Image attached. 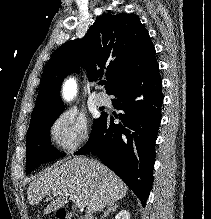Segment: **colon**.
<instances>
[{
    "mask_svg": "<svg viewBox=\"0 0 211 219\" xmlns=\"http://www.w3.org/2000/svg\"><path fill=\"white\" fill-rule=\"evenodd\" d=\"M56 217L57 219H76V217L65 210H59Z\"/></svg>",
    "mask_w": 211,
    "mask_h": 219,
    "instance_id": "colon-1",
    "label": "colon"
}]
</instances>
